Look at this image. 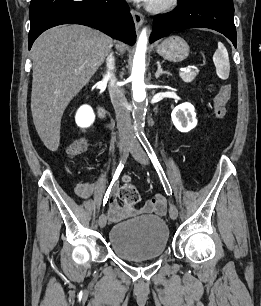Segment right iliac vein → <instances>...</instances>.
<instances>
[{
  "label": "right iliac vein",
  "instance_id": "63e3f726",
  "mask_svg": "<svg viewBox=\"0 0 261 306\" xmlns=\"http://www.w3.org/2000/svg\"><path fill=\"white\" fill-rule=\"evenodd\" d=\"M127 145H128V142L126 140H122L119 143V151H120L121 155H125L126 154ZM106 223H107L106 215L104 213H102L99 216V219H98V224H99L100 228H104L106 226Z\"/></svg>",
  "mask_w": 261,
  "mask_h": 306
}]
</instances>
